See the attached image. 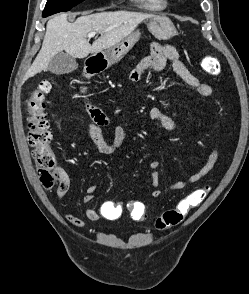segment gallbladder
I'll list each match as a JSON object with an SVG mask.
<instances>
[{
	"label": "gallbladder",
	"instance_id": "obj_1",
	"mask_svg": "<svg viewBox=\"0 0 249 294\" xmlns=\"http://www.w3.org/2000/svg\"><path fill=\"white\" fill-rule=\"evenodd\" d=\"M76 68V59L65 52L57 53L48 64V70L57 75L71 73Z\"/></svg>",
	"mask_w": 249,
	"mask_h": 294
}]
</instances>
